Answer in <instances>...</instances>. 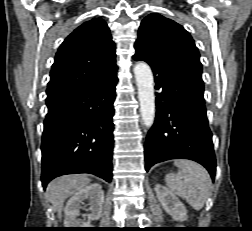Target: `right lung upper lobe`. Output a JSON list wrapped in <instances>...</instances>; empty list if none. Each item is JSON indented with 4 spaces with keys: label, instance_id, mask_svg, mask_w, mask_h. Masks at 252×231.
Instances as JSON below:
<instances>
[{
    "label": "right lung upper lobe",
    "instance_id": "cb5924a9",
    "mask_svg": "<svg viewBox=\"0 0 252 231\" xmlns=\"http://www.w3.org/2000/svg\"><path fill=\"white\" fill-rule=\"evenodd\" d=\"M115 44L105 21L94 18L75 29L59 47L47 86V106L75 91L116 76Z\"/></svg>",
    "mask_w": 252,
    "mask_h": 231
}]
</instances>
